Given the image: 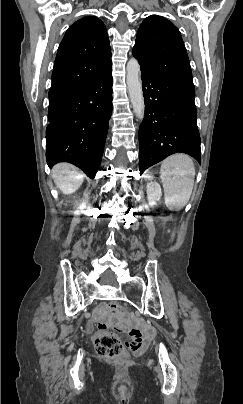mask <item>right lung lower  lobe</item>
<instances>
[{
    "instance_id": "right-lung-lower-lobe-1",
    "label": "right lung lower lobe",
    "mask_w": 243,
    "mask_h": 404,
    "mask_svg": "<svg viewBox=\"0 0 243 404\" xmlns=\"http://www.w3.org/2000/svg\"><path fill=\"white\" fill-rule=\"evenodd\" d=\"M112 114V75L49 95L46 159L49 167L69 162L94 178Z\"/></svg>"
}]
</instances>
